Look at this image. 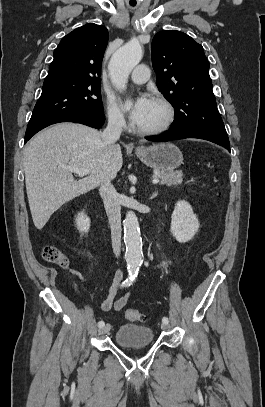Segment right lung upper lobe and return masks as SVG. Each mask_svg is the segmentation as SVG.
Returning <instances> with one entry per match:
<instances>
[{
    "instance_id": "cb5924a9",
    "label": "right lung upper lobe",
    "mask_w": 265,
    "mask_h": 407,
    "mask_svg": "<svg viewBox=\"0 0 265 407\" xmlns=\"http://www.w3.org/2000/svg\"><path fill=\"white\" fill-rule=\"evenodd\" d=\"M108 42V30L94 23L76 28L62 38L54 51L48 77L100 80L101 65Z\"/></svg>"
}]
</instances>
